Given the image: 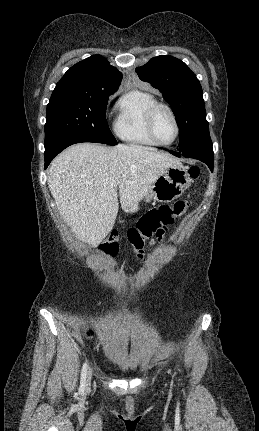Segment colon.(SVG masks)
Returning a JSON list of instances; mask_svg holds the SVG:
<instances>
[{"label": "colon", "mask_w": 259, "mask_h": 431, "mask_svg": "<svg viewBox=\"0 0 259 431\" xmlns=\"http://www.w3.org/2000/svg\"><path fill=\"white\" fill-rule=\"evenodd\" d=\"M199 174L200 168L198 166L193 165L188 168V175L192 180L198 178ZM188 207L187 201L178 200L172 205H159L154 207L138 219L135 226L128 230L127 236L134 250L137 252L139 259L143 258L145 240L150 238L162 240L168 232L174 218H182V214L188 210ZM118 239V232L112 230L106 240L101 244V251L107 255L114 256L118 252ZM86 334L88 336L92 334L91 328L86 329Z\"/></svg>", "instance_id": "colon-1"}]
</instances>
